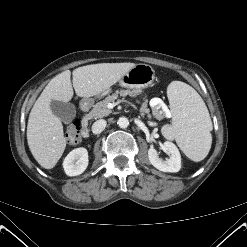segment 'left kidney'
Listing matches in <instances>:
<instances>
[{"label":"left kidney","instance_id":"obj_1","mask_svg":"<svg viewBox=\"0 0 247 247\" xmlns=\"http://www.w3.org/2000/svg\"><path fill=\"white\" fill-rule=\"evenodd\" d=\"M163 151L170 155L167 160L159 158L158 152L151 147L148 150V158L150 163L158 170L163 172H178L181 169V155L177 146L166 141L162 147Z\"/></svg>","mask_w":247,"mask_h":247}]
</instances>
